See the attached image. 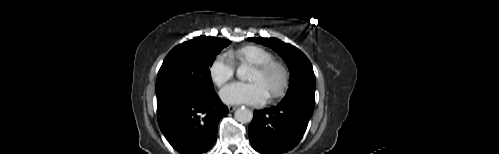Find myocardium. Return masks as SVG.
<instances>
[{"instance_id":"1","label":"myocardium","mask_w":499,"mask_h":154,"mask_svg":"<svg viewBox=\"0 0 499 154\" xmlns=\"http://www.w3.org/2000/svg\"><path fill=\"white\" fill-rule=\"evenodd\" d=\"M254 69L263 75L268 74L275 69L279 70L281 73L280 84L269 94V98L275 99L284 95L290 82V71L287 64L284 61L279 59H271L262 64L255 65Z\"/></svg>"}]
</instances>
